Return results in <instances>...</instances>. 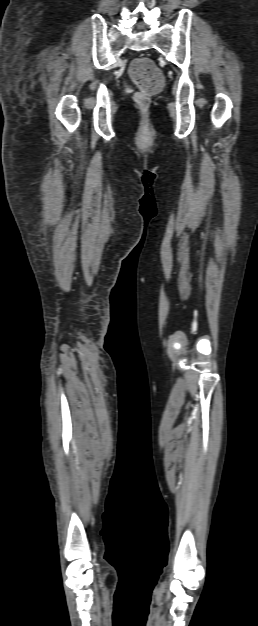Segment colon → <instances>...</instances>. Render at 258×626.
Wrapping results in <instances>:
<instances>
[{
    "instance_id": "1",
    "label": "colon",
    "mask_w": 258,
    "mask_h": 626,
    "mask_svg": "<svg viewBox=\"0 0 258 626\" xmlns=\"http://www.w3.org/2000/svg\"><path fill=\"white\" fill-rule=\"evenodd\" d=\"M130 76L137 85L134 99L139 108L148 109L151 98L160 92L164 77L158 66L147 57L136 58L129 68Z\"/></svg>"
}]
</instances>
